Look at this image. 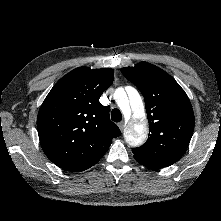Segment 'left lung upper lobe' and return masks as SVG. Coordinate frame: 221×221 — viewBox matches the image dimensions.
<instances>
[{"mask_svg":"<svg viewBox=\"0 0 221 221\" xmlns=\"http://www.w3.org/2000/svg\"><path fill=\"white\" fill-rule=\"evenodd\" d=\"M121 73L144 96L149 137L133 148L134 158L167 167L186 152L194 130L190 100L180 85L164 70L147 62L125 67Z\"/></svg>","mask_w":221,"mask_h":221,"instance_id":"5c2ea615","label":"left lung upper lobe"}]
</instances>
